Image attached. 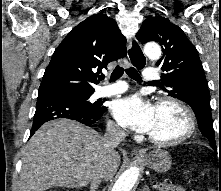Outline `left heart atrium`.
Masks as SVG:
<instances>
[{"label": "left heart atrium", "mask_w": 221, "mask_h": 191, "mask_svg": "<svg viewBox=\"0 0 221 191\" xmlns=\"http://www.w3.org/2000/svg\"><path fill=\"white\" fill-rule=\"evenodd\" d=\"M112 112L121 125L138 133H150L157 119V108L138 94L116 100Z\"/></svg>", "instance_id": "39dd6f15"}]
</instances>
